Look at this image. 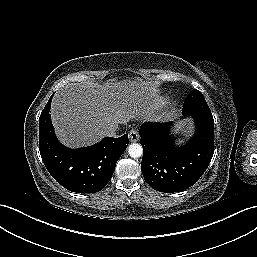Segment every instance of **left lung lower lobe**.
Wrapping results in <instances>:
<instances>
[{"instance_id":"1","label":"left lung lower lobe","mask_w":257,"mask_h":257,"mask_svg":"<svg viewBox=\"0 0 257 257\" xmlns=\"http://www.w3.org/2000/svg\"><path fill=\"white\" fill-rule=\"evenodd\" d=\"M183 115L192 116L196 126L194 138L183 147L174 145L170 123H144L140 128V144L143 147L141 170L145 181L156 191L173 193L191 187L212 159V113L195 111Z\"/></svg>"}]
</instances>
